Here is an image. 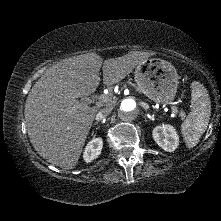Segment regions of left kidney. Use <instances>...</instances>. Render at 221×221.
<instances>
[{"label":"left kidney","instance_id":"obj_1","mask_svg":"<svg viewBox=\"0 0 221 221\" xmlns=\"http://www.w3.org/2000/svg\"><path fill=\"white\" fill-rule=\"evenodd\" d=\"M152 134L155 142L165 151L173 152L179 145L176 129L169 124L156 126Z\"/></svg>","mask_w":221,"mask_h":221}]
</instances>
